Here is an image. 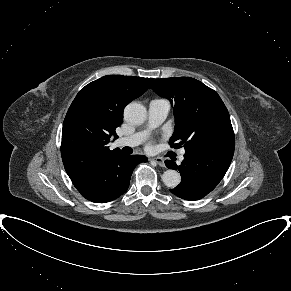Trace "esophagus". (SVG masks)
<instances>
[{
  "label": "esophagus",
  "instance_id": "1",
  "mask_svg": "<svg viewBox=\"0 0 291 291\" xmlns=\"http://www.w3.org/2000/svg\"><path fill=\"white\" fill-rule=\"evenodd\" d=\"M152 161H154L155 163H157L159 166L164 167V160L160 157H155L152 158Z\"/></svg>",
  "mask_w": 291,
  "mask_h": 291
}]
</instances>
